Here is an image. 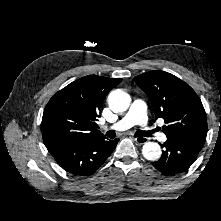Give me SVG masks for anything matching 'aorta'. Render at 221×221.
<instances>
[{
    "instance_id": "762f6f07",
    "label": "aorta",
    "mask_w": 221,
    "mask_h": 221,
    "mask_svg": "<svg viewBox=\"0 0 221 221\" xmlns=\"http://www.w3.org/2000/svg\"><path fill=\"white\" fill-rule=\"evenodd\" d=\"M131 98L128 93L116 89L108 95V104L115 112H123L129 108ZM142 154L149 161H157L161 157V147L156 142H146L142 147Z\"/></svg>"
}]
</instances>
